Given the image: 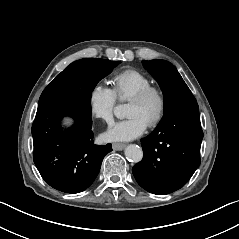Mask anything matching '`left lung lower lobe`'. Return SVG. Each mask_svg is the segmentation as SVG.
I'll return each instance as SVG.
<instances>
[{
	"label": "left lung lower lobe",
	"instance_id": "left-lung-lower-lobe-1",
	"mask_svg": "<svg viewBox=\"0 0 239 239\" xmlns=\"http://www.w3.org/2000/svg\"><path fill=\"white\" fill-rule=\"evenodd\" d=\"M202 138L197 102L174 108L141 139L143 159L132 168L138 184L157 195L183 187L200 165Z\"/></svg>",
	"mask_w": 239,
	"mask_h": 239
}]
</instances>
